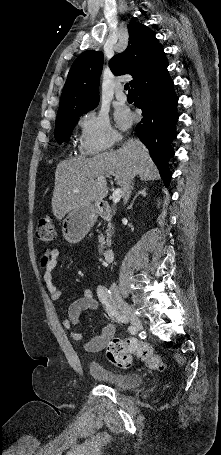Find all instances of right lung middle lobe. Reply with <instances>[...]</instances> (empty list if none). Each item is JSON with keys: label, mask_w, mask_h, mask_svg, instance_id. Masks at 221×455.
I'll use <instances>...</instances> for the list:
<instances>
[{"label": "right lung middle lobe", "mask_w": 221, "mask_h": 455, "mask_svg": "<svg viewBox=\"0 0 221 455\" xmlns=\"http://www.w3.org/2000/svg\"><path fill=\"white\" fill-rule=\"evenodd\" d=\"M96 106L80 112V113H73V114H67L63 115L61 117H58L56 119V127H55V138L59 144L62 142L66 141L67 139L70 138V134L75 127L78 118L83 114L86 113L87 111L94 109Z\"/></svg>", "instance_id": "right-lung-middle-lobe-1"}]
</instances>
